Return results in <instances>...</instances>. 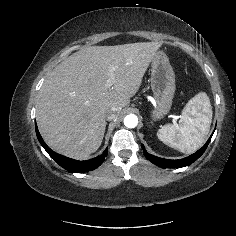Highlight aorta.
Returning <instances> with one entry per match:
<instances>
[{"mask_svg":"<svg viewBox=\"0 0 236 236\" xmlns=\"http://www.w3.org/2000/svg\"><path fill=\"white\" fill-rule=\"evenodd\" d=\"M138 124V118L134 114H129L124 118V125L127 128H135Z\"/></svg>","mask_w":236,"mask_h":236,"instance_id":"1","label":"aorta"}]
</instances>
